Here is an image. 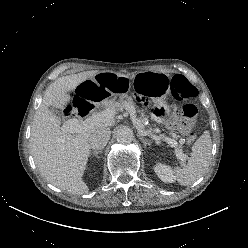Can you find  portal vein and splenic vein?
Wrapping results in <instances>:
<instances>
[{
	"mask_svg": "<svg viewBox=\"0 0 248 248\" xmlns=\"http://www.w3.org/2000/svg\"><path fill=\"white\" fill-rule=\"evenodd\" d=\"M127 111L130 114V118L133 122V125L138 129V132L142 136H149L153 140H155L156 143H159L161 140L167 142V144L171 145L172 147L176 148L177 142L160 135H152L149 131L144 130V125L141 123V121L136 118V111L133 107L128 106ZM116 114V109L114 107L107 108L106 110L97 113L96 115H93L92 117L86 119L85 121H80L78 119H69L65 121V123L62 126V130L69 132V133H77L81 131L82 129H85L89 125H93L97 122H108L110 121L114 115ZM178 158L181 160L185 159V155L183 153L176 154Z\"/></svg>",
	"mask_w": 248,
	"mask_h": 248,
	"instance_id": "18ae733b",
	"label": "portal vein and splenic vein"
}]
</instances>
